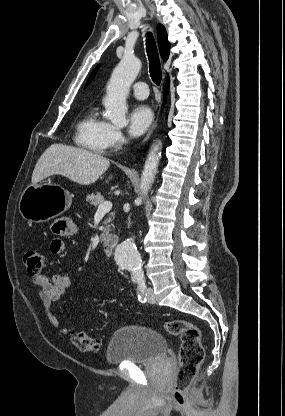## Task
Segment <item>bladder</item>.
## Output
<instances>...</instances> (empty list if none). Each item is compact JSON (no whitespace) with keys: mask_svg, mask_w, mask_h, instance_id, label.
I'll use <instances>...</instances> for the list:
<instances>
[{"mask_svg":"<svg viewBox=\"0 0 285 416\" xmlns=\"http://www.w3.org/2000/svg\"><path fill=\"white\" fill-rule=\"evenodd\" d=\"M167 355V339L147 326L124 325L112 335L106 358L109 363H153Z\"/></svg>","mask_w":285,"mask_h":416,"instance_id":"obj_1","label":"bladder"}]
</instances>
